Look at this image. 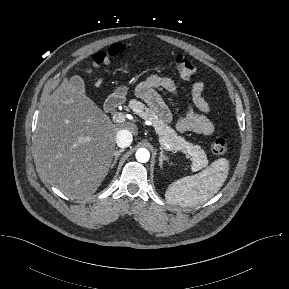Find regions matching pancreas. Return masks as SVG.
<instances>
[{
  "mask_svg": "<svg viewBox=\"0 0 289 289\" xmlns=\"http://www.w3.org/2000/svg\"><path fill=\"white\" fill-rule=\"evenodd\" d=\"M129 107L144 120L152 122L159 138L163 139L174 152H182L190 158L192 171H198L208 164L207 156L200 146L187 142L183 137L178 136L166 122L159 118L156 113L147 108L143 103L132 100Z\"/></svg>",
  "mask_w": 289,
  "mask_h": 289,
  "instance_id": "obj_1",
  "label": "pancreas"
}]
</instances>
